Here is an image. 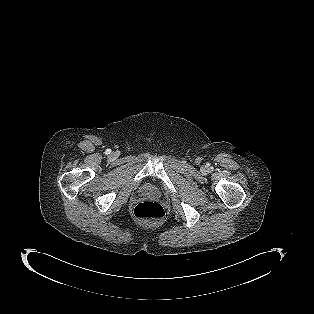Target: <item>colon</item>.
I'll list each match as a JSON object with an SVG mask.
<instances>
[{
	"label": "colon",
	"mask_w": 314,
	"mask_h": 314,
	"mask_svg": "<svg viewBox=\"0 0 314 314\" xmlns=\"http://www.w3.org/2000/svg\"><path fill=\"white\" fill-rule=\"evenodd\" d=\"M133 212L136 218L147 222H159L165 217L162 205L150 199L139 202Z\"/></svg>",
	"instance_id": "obj_1"
}]
</instances>
